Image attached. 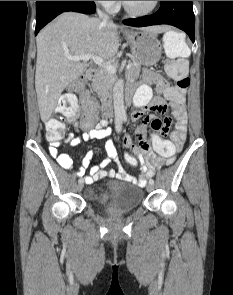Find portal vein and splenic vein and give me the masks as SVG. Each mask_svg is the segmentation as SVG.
I'll return each mask as SVG.
<instances>
[{
  "label": "portal vein and splenic vein",
  "mask_w": 233,
  "mask_h": 295,
  "mask_svg": "<svg viewBox=\"0 0 233 295\" xmlns=\"http://www.w3.org/2000/svg\"><path fill=\"white\" fill-rule=\"evenodd\" d=\"M66 57L72 61L82 60L84 62H87L89 60H93L97 65H99L100 67L104 68L105 70H107L109 73H112V74L116 73V70H117V65L105 63L104 60L97 55H93V54L66 55ZM126 68L130 69L131 63H128Z\"/></svg>",
  "instance_id": "obj_1"
}]
</instances>
